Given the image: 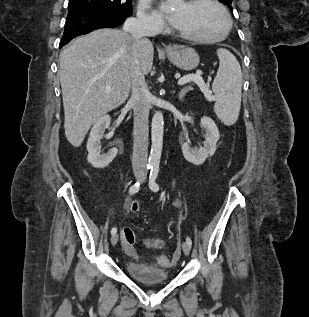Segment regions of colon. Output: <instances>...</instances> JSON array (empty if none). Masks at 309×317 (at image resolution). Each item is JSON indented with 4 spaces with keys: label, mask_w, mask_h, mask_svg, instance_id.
I'll list each match as a JSON object with an SVG mask.
<instances>
[{
    "label": "colon",
    "mask_w": 309,
    "mask_h": 317,
    "mask_svg": "<svg viewBox=\"0 0 309 317\" xmlns=\"http://www.w3.org/2000/svg\"><path fill=\"white\" fill-rule=\"evenodd\" d=\"M139 210V205L136 202L131 203L130 211L136 213ZM121 241L125 247H133L135 243V235L134 232L130 228H124L121 232ZM153 246H159L160 242L158 240L150 242ZM169 257L161 256L159 262L162 266H170L168 262Z\"/></svg>",
    "instance_id": "obj_1"
}]
</instances>
